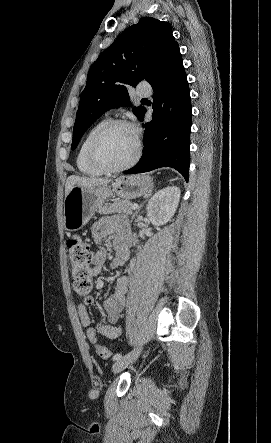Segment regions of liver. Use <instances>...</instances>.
I'll list each match as a JSON object with an SVG mask.
<instances>
[{"label": "liver", "instance_id": "6515ba94", "mask_svg": "<svg viewBox=\"0 0 271 443\" xmlns=\"http://www.w3.org/2000/svg\"><path fill=\"white\" fill-rule=\"evenodd\" d=\"M111 180H103V178H79V176H69L65 184V198L74 186H86V188H94V186H105Z\"/></svg>", "mask_w": 271, "mask_h": 443}]
</instances>
